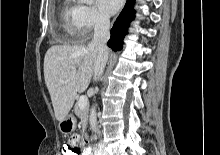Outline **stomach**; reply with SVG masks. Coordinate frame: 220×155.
<instances>
[{
    "instance_id": "0dacf381",
    "label": "stomach",
    "mask_w": 220,
    "mask_h": 155,
    "mask_svg": "<svg viewBox=\"0 0 220 155\" xmlns=\"http://www.w3.org/2000/svg\"><path fill=\"white\" fill-rule=\"evenodd\" d=\"M76 128V120L73 115H67L64 120L59 123V130L63 134H70Z\"/></svg>"
}]
</instances>
